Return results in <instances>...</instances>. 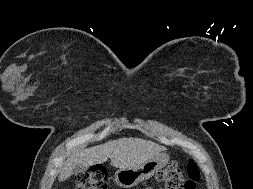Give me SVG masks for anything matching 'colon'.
Wrapping results in <instances>:
<instances>
[{
    "label": "colon",
    "mask_w": 253,
    "mask_h": 189,
    "mask_svg": "<svg viewBox=\"0 0 253 189\" xmlns=\"http://www.w3.org/2000/svg\"><path fill=\"white\" fill-rule=\"evenodd\" d=\"M106 179L105 167L95 165L77 178L75 189H106ZM157 179L165 183L167 189H195L200 179V171L194 161L187 164L186 174L176 164L171 163L159 171Z\"/></svg>",
    "instance_id": "5ec220e1"
}]
</instances>
